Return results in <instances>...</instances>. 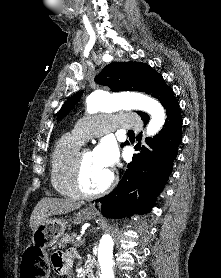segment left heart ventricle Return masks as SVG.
Segmentation results:
<instances>
[{
    "label": "left heart ventricle",
    "instance_id": "obj_1",
    "mask_svg": "<svg viewBox=\"0 0 221 278\" xmlns=\"http://www.w3.org/2000/svg\"><path fill=\"white\" fill-rule=\"evenodd\" d=\"M111 170L104 167L93 152L85 154L82 165V182L88 191L101 189L109 181Z\"/></svg>",
    "mask_w": 221,
    "mask_h": 278
}]
</instances>
